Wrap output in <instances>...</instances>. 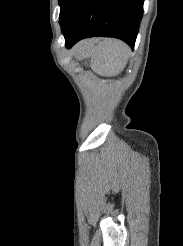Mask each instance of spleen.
Listing matches in <instances>:
<instances>
[{"instance_id": "3e777b00", "label": "spleen", "mask_w": 183, "mask_h": 246, "mask_svg": "<svg viewBox=\"0 0 183 246\" xmlns=\"http://www.w3.org/2000/svg\"><path fill=\"white\" fill-rule=\"evenodd\" d=\"M130 56L129 47L122 41L106 39L101 42L96 57L97 71L103 76H114L126 67Z\"/></svg>"}]
</instances>
